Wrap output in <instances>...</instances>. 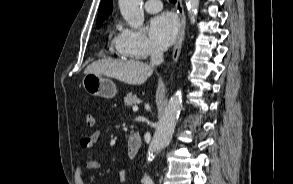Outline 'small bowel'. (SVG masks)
Returning <instances> with one entry per match:
<instances>
[{"instance_id":"obj_1","label":"small bowel","mask_w":293,"mask_h":184,"mask_svg":"<svg viewBox=\"0 0 293 184\" xmlns=\"http://www.w3.org/2000/svg\"><path fill=\"white\" fill-rule=\"evenodd\" d=\"M100 137V131L95 130L90 135L84 137L81 142V148L86 152L83 162L78 163L74 169V182L75 184H85L84 172L87 170H96L100 167L99 162L93 157L91 151ZM119 177L122 183L126 182V170H122L119 173Z\"/></svg>"}]
</instances>
